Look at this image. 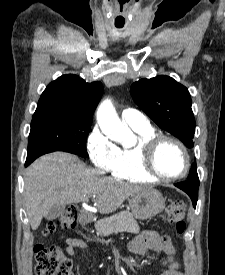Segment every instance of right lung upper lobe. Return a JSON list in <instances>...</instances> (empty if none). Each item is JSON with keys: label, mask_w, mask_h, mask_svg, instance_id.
<instances>
[{"label": "right lung upper lobe", "mask_w": 225, "mask_h": 275, "mask_svg": "<svg viewBox=\"0 0 225 275\" xmlns=\"http://www.w3.org/2000/svg\"><path fill=\"white\" fill-rule=\"evenodd\" d=\"M102 94L103 85L99 81L86 83L76 75H63L46 87L33 119L71 117L92 120Z\"/></svg>", "instance_id": "right-lung-upper-lobe-1"}]
</instances>
